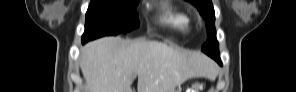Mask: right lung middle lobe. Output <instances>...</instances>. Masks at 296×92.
Masks as SVG:
<instances>
[{
    "label": "right lung middle lobe",
    "mask_w": 296,
    "mask_h": 92,
    "mask_svg": "<svg viewBox=\"0 0 296 92\" xmlns=\"http://www.w3.org/2000/svg\"><path fill=\"white\" fill-rule=\"evenodd\" d=\"M139 1L91 0L86 13L82 42L105 35L129 32L139 26L136 6Z\"/></svg>",
    "instance_id": "1"
}]
</instances>
